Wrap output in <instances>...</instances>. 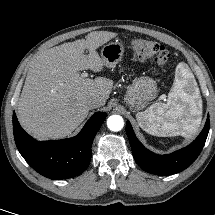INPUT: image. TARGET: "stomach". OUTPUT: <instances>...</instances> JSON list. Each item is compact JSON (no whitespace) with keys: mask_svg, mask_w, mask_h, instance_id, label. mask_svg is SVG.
I'll use <instances>...</instances> for the list:
<instances>
[{"mask_svg":"<svg viewBox=\"0 0 215 215\" xmlns=\"http://www.w3.org/2000/svg\"><path fill=\"white\" fill-rule=\"evenodd\" d=\"M124 46L120 42H110L101 50V59L104 66L115 67L122 59ZM157 93V83L148 76L135 78L128 87L124 100L133 111L141 110Z\"/></svg>","mask_w":215,"mask_h":215,"instance_id":"stomach-1","label":"stomach"}]
</instances>
